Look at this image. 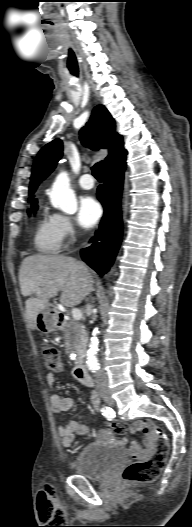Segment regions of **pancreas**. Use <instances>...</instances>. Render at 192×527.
<instances>
[{"label": "pancreas", "mask_w": 192, "mask_h": 527, "mask_svg": "<svg viewBox=\"0 0 192 527\" xmlns=\"http://www.w3.org/2000/svg\"><path fill=\"white\" fill-rule=\"evenodd\" d=\"M65 339L68 344H71L77 351H80L87 340L85 330L82 325L73 320L65 323L63 328Z\"/></svg>", "instance_id": "obj_1"}]
</instances>
